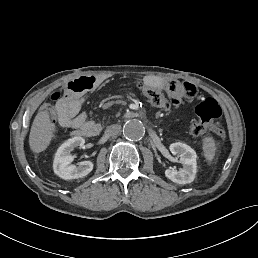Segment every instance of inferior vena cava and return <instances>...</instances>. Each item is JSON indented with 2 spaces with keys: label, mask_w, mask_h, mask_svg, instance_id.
<instances>
[{
  "label": "inferior vena cava",
  "mask_w": 258,
  "mask_h": 258,
  "mask_svg": "<svg viewBox=\"0 0 258 258\" xmlns=\"http://www.w3.org/2000/svg\"><path fill=\"white\" fill-rule=\"evenodd\" d=\"M120 130H121V126L117 125V124H114V125H111L107 128L106 134L108 136H115L120 132Z\"/></svg>",
  "instance_id": "1"
}]
</instances>
